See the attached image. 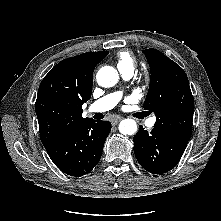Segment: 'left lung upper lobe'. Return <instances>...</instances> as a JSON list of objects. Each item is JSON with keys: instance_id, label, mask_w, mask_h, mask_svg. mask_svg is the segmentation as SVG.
I'll return each mask as SVG.
<instances>
[{"instance_id": "1", "label": "left lung upper lobe", "mask_w": 221, "mask_h": 221, "mask_svg": "<svg viewBox=\"0 0 221 221\" xmlns=\"http://www.w3.org/2000/svg\"><path fill=\"white\" fill-rule=\"evenodd\" d=\"M142 52L151 70L144 109L155 113L154 128L173 137L189 140L194 99L185 72L157 49Z\"/></svg>"}]
</instances>
